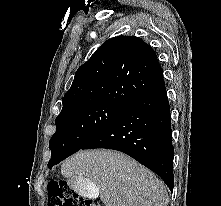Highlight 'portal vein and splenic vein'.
Wrapping results in <instances>:
<instances>
[{
	"label": "portal vein and splenic vein",
	"mask_w": 221,
	"mask_h": 206,
	"mask_svg": "<svg viewBox=\"0 0 221 206\" xmlns=\"http://www.w3.org/2000/svg\"><path fill=\"white\" fill-rule=\"evenodd\" d=\"M95 190H96L95 187H93L92 192H95Z\"/></svg>",
	"instance_id": "portal-vein-and-splenic-vein-1"
}]
</instances>
